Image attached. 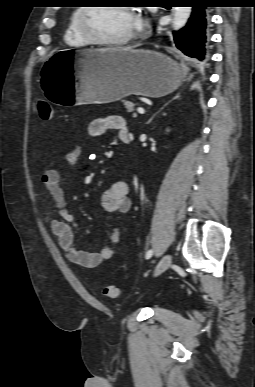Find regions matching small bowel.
Returning <instances> with one entry per match:
<instances>
[{
    "label": "small bowel",
    "mask_w": 255,
    "mask_h": 387,
    "mask_svg": "<svg viewBox=\"0 0 255 387\" xmlns=\"http://www.w3.org/2000/svg\"><path fill=\"white\" fill-rule=\"evenodd\" d=\"M93 137L103 135L108 130H116L119 137L122 134H129L125 119L119 115H105L93 119L88 127ZM83 154L81 146L74 147L65 156L63 163L46 170L41 177L42 184L52 198L56 207L59 219L50 222L52 233L56 236L61 249L66 257L73 263L86 268H96L105 260L115 255V245L120 238V230L114 228L110 243L100 252H87L75 246L74 229L78 224L74 216L67 209V199L62 186V174L64 166H74L78 163ZM129 186L126 181L114 182L102 195L101 202L103 209L108 213L126 214L131 210L132 201L129 197Z\"/></svg>",
    "instance_id": "obj_1"
}]
</instances>
